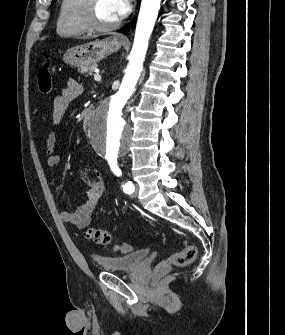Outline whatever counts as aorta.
I'll list each match as a JSON object with an SVG mask.
<instances>
[{"label":"aorta","mask_w":285,"mask_h":335,"mask_svg":"<svg viewBox=\"0 0 285 335\" xmlns=\"http://www.w3.org/2000/svg\"><path fill=\"white\" fill-rule=\"evenodd\" d=\"M160 4L161 0H142L134 44L121 86L119 90H112V95H106V100H101L100 105H96V112H92V119H89V127H85V134L92 137L91 147H97L96 156H100L101 160H120L125 152H130L133 130L126 125L123 112L127 102H133V92L143 70Z\"/></svg>","instance_id":"1"}]
</instances>
